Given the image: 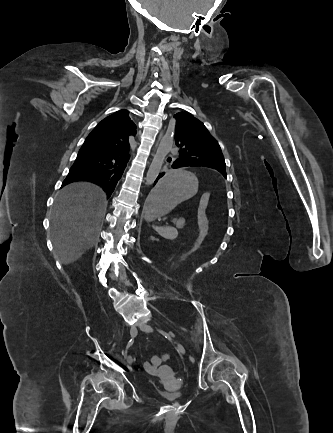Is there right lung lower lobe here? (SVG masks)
Returning <instances> with one entry per match:
<instances>
[{
  "label": "right lung lower lobe",
  "instance_id": "98d812e1",
  "mask_svg": "<svg viewBox=\"0 0 333 433\" xmlns=\"http://www.w3.org/2000/svg\"><path fill=\"white\" fill-rule=\"evenodd\" d=\"M89 138H86L62 186L76 181H89L101 186L109 198L129 160V147L99 152Z\"/></svg>",
  "mask_w": 333,
  "mask_h": 433
}]
</instances>
